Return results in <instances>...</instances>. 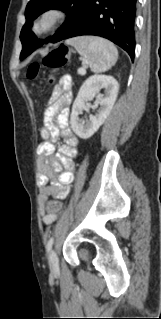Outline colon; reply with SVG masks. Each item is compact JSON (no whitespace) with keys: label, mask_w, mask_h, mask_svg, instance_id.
I'll return each instance as SVG.
<instances>
[{"label":"colon","mask_w":161,"mask_h":319,"mask_svg":"<svg viewBox=\"0 0 161 319\" xmlns=\"http://www.w3.org/2000/svg\"><path fill=\"white\" fill-rule=\"evenodd\" d=\"M69 50L65 46H60L57 49L50 51L42 60V64L52 69L54 72L61 69L68 61ZM40 63L33 62L28 66L27 78L34 79L39 75ZM54 84V77L51 76L48 80V85ZM48 210L51 213L58 214L61 211L59 202L48 203Z\"/></svg>","instance_id":"1"}]
</instances>
